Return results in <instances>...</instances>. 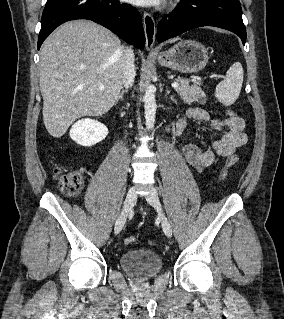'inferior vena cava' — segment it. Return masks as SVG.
<instances>
[{
	"label": "inferior vena cava",
	"mask_w": 284,
	"mask_h": 319,
	"mask_svg": "<svg viewBox=\"0 0 284 319\" xmlns=\"http://www.w3.org/2000/svg\"><path fill=\"white\" fill-rule=\"evenodd\" d=\"M136 75L134 65V53L131 48L125 50L124 71H123V85L125 88L131 87L134 83Z\"/></svg>",
	"instance_id": "inferior-vena-cava-1"
}]
</instances>
